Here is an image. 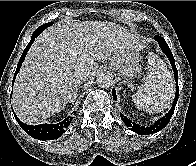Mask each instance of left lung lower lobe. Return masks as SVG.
Returning a JSON list of instances; mask_svg holds the SVG:
<instances>
[{
  "label": "left lung lower lobe",
  "mask_w": 196,
  "mask_h": 166,
  "mask_svg": "<svg viewBox=\"0 0 196 166\" xmlns=\"http://www.w3.org/2000/svg\"><path fill=\"white\" fill-rule=\"evenodd\" d=\"M155 39L159 43L160 48L162 49V51L169 58V61L172 65V69L174 71V77H175V81H176V94H175L173 105H172V108L170 109V111L164 117H162L161 119L156 121L150 127H145V126H141L139 124H136L135 122H132L130 119H128L127 117H125L124 115H122L120 113V116H121L123 122L125 123V125L130 130H132V131H134V132H136L140 135H147V134L156 133V132L162 130L163 128H165L166 125L169 123L171 117H172V114L175 110V106L177 104L178 96H179V90L177 89L178 88V71H177L176 66H175V60H174V57L172 55V52H171L169 46L167 45L166 41L163 39V37L156 35ZM112 95H113V98L115 100H117L115 89L112 90Z\"/></svg>",
  "instance_id": "0a47b994"
}]
</instances>
